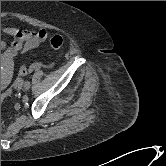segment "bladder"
I'll use <instances>...</instances> for the list:
<instances>
[{
  "label": "bladder",
  "instance_id": "31cf9c89",
  "mask_svg": "<svg viewBox=\"0 0 166 166\" xmlns=\"http://www.w3.org/2000/svg\"><path fill=\"white\" fill-rule=\"evenodd\" d=\"M3 85H4V83H3L2 79H1V86H3Z\"/></svg>",
  "mask_w": 166,
  "mask_h": 166
}]
</instances>
